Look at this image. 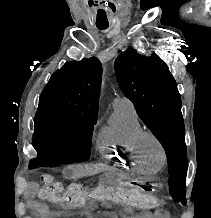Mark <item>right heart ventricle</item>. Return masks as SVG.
<instances>
[{"label": "right heart ventricle", "mask_w": 211, "mask_h": 218, "mask_svg": "<svg viewBox=\"0 0 211 218\" xmlns=\"http://www.w3.org/2000/svg\"><path fill=\"white\" fill-rule=\"evenodd\" d=\"M142 129L134 107L114 108L108 125L98 134L100 157H106L105 161L109 165H118V169H141V164L135 160V136Z\"/></svg>", "instance_id": "obj_1"}]
</instances>
